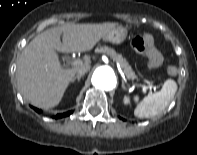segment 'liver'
I'll use <instances>...</instances> for the list:
<instances>
[{
	"label": "liver",
	"mask_w": 197,
	"mask_h": 155,
	"mask_svg": "<svg viewBox=\"0 0 197 155\" xmlns=\"http://www.w3.org/2000/svg\"><path fill=\"white\" fill-rule=\"evenodd\" d=\"M116 26V23H69L37 35L23 49L17 63V84L24 99L42 109L57 106L77 70L90 67L91 61L86 56L79 65L64 68L56 50L62 53L89 51Z\"/></svg>",
	"instance_id": "obj_1"
}]
</instances>
